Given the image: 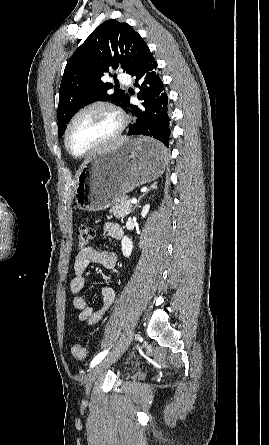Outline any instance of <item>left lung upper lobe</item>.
<instances>
[{
	"mask_svg": "<svg viewBox=\"0 0 269 445\" xmlns=\"http://www.w3.org/2000/svg\"><path fill=\"white\" fill-rule=\"evenodd\" d=\"M148 49L127 23L111 19L99 25L67 62L59 91L58 136L62 137L74 114L97 100L124 102L127 94L102 77L122 68L130 73ZM116 77V76H115ZM116 90L109 94L108 90Z\"/></svg>",
	"mask_w": 269,
	"mask_h": 445,
	"instance_id": "5c2ea615",
	"label": "left lung upper lobe"
}]
</instances>
